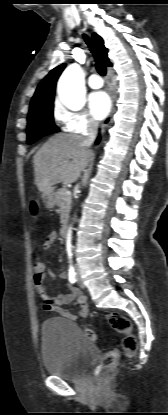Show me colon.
<instances>
[{"instance_id":"colon-1","label":"colon","mask_w":168,"mask_h":415,"mask_svg":"<svg viewBox=\"0 0 168 415\" xmlns=\"http://www.w3.org/2000/svg\"><path fill=\"white\" fill-rule=\"evenodd\" d=\"M46 266V261L44 259H36L33 265L31 266V273L32 275V282L33 283H41L43 278L45 277V270L44 267ZM107 320L111 324V326L118 332L123 333L125 336L122 340V350L123 353L126 355H132L136 352L138 342L136 337L131 333V322L130 320L120 314L111 312L106 315ZM85 336L89 340H95L96 334L91 329H85ZM120 356V352L118 350H111L105 353L98 365L95 367L93 374L94 376H98L103 370L108 369L115 365L118 358Z\"/></svg>"}]
</instances>
